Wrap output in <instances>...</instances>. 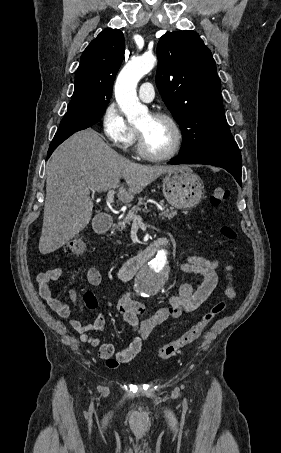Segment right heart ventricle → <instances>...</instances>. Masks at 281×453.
I'll return each instance as SVG.
<instances>
[{
	"instance_id": "1",
	"label": "right heart ventricle",
	"mask_w": 281,
	"mask_h": 453,
	"mask_svg": "<svg viewBox=\"0 0 281 453\" xmlns=\"http://www.w3.org/2000/svg\"><path fill=\"white\" fill-rule=\"evenodd\" d=\"M134 131H133V134L132 136L130 137V139L128 140V142L126 143L127 145H130L134 142L135 138H136V135H137V131L135 130V128H133Z\"/></svg>"
}]
</instances>
